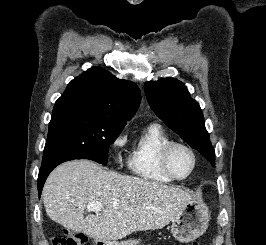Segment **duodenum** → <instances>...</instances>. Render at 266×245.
<instances>
[{
	"label": "duodenum",
	"mask_w": 266,
	"mask_h": 245,
	"mask_svg": "<svg viewBox=\"0 0 266 245\" xmlns=\"http://www.w3.org/2000/svg\"><path fill=\"white\" fill-rule=\"evenodd\" d=\"M93 245H113V237H93Z\"/></svg>",
	"instance_id": "410a0bca"
}]
</instances>
